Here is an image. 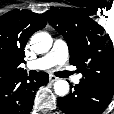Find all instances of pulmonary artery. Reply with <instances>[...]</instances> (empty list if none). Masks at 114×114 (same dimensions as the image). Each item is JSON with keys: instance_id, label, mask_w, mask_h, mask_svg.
Returning <instances> with one entry per match:
<instances>
[{"instance_id": "e3ab8cb5", "label": "pulmonary artery", "mask_w": 114, "mask_h": 114, "mask_svg": "<svg viewBox=\"0 0 114 114\" xmlns=\"http://www.w3.org/2000/svg\"><path fill=\"white\" fill-rule=\"evenodd\" d=\"M68 58V47L67 44L60 39L54 42L53 48L45 56L27 63L29 69H47L54 65H63ZM73 82L78 84L80 77L75 76Z\"/></svg>"}]
</instances>
